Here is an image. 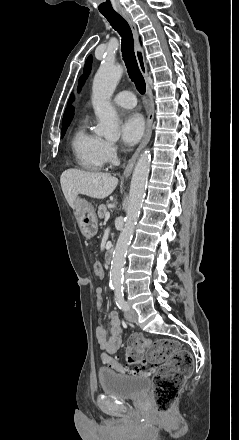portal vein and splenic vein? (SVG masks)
Returning a JSON list of instances; mask_svg holds the SVG:
<instances>
[{
    "label": "portal vein and splenic vein",
    "mask_w": 239,
    "mask_h": 440,
    "mask_svg": "<svg viewBox=\"0 0 239 440\" xmlns=\"http://www.w3.org/2000/svg\"><path fill=\"white\" fill-rule=\"evenodd\" d=\"M109 218H110V214L109 212H106L105 220H109Z\"/></svg>",
    "instance_id": "portal-vein-and-splenic-vein-1"
}]
</instances>
